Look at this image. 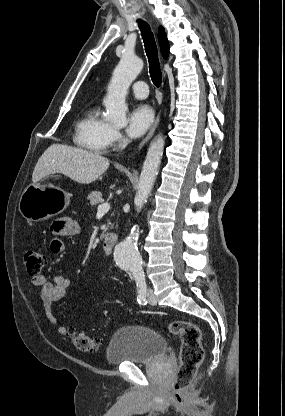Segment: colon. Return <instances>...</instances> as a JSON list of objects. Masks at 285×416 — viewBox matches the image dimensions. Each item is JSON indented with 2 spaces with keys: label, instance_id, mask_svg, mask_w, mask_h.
I'll return each mask as SVG.
<instances>
[{
  "label": "colon",
  "instance_id": "obj_1",
  "mask_svg": "<svg viewBox=\"0 0 285 416\" xmlns=\"http://www.w3.org/2000/svg\"><path fill=\"white\" fill-rule=\"evenodd\" d=\"M44 262L45 256L38 251L28 250L24 254L27 272L33 277L41 273ZM168 331L181 340L180 365L172 385V398L178 406L185 407L190 403L189 389L204 358L201 331L196 324L183 320L170 322ZM67 336L80 351L95 353L99 349V341L84 331L72 330Z\"/></svg>",
  "mask_w": 285,
  "mask_h": 416
}]
</instances>
